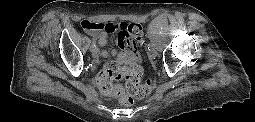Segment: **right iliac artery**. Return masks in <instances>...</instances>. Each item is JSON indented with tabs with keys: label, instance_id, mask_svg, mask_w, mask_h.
<instances>
[{
	"label": "right iliac artery",
	"instance_id": "right-iliac-artery-1",
	"mask_svg": "<svg viewBox=\"0 0 255 122\" xmlns=\"http://www.w3.org/2000/svg\"><path fill=\"white\" fill-rule=\"evenodd\" d=\"M94 47H96V43L95 42H93V44L91 45V48H94Z\"/></svg>",
	"mask_w": 255,
	"mask_h": 122
}]
</instances>
